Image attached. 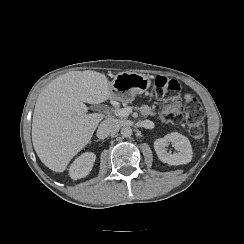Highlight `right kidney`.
I'll return each mask as SVG.
<instances>
[{"label": "right kidney", "instance_id": "ca27d5eb", "mask_svg": "<svg viewBox=\"0 0 244 244\" xmlns=\"http://www.w3.org/2000/svg\"><path fill=\"white\" fill-rule=\"evenodd\" d=\"M96 155L85 152L74 160L69 168V175L73 180L86 177L92 170Z\"/></svg>", "mask_w": 244, "mask_h": 244}]
</instances>
